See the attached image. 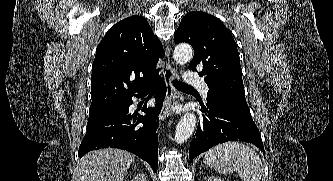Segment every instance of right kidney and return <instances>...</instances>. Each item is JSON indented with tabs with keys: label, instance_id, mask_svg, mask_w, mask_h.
Here are the masks:
<instances>
[{
	"label": "right kidney",
	"instance_id": "1",
	"mask_svg": "<svg viewBox=\"0 0 333 181\" xmlns=\"http://www.w3.org/2000/svg\"><path fill=\"white\" fill-rule=\"evenodd\" d=\"M131 181H147L144 174H137Z\"/></svg>",
	"mask_w": 333,
	"mask_h": 181
}]
</instances>
